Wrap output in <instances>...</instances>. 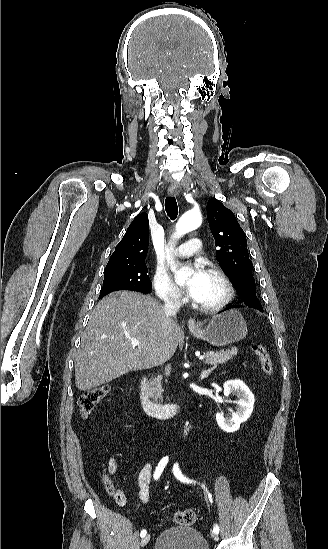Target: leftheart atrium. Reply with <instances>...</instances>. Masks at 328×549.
Listing matches in <instances>:
<instances>
[{
  "instance_id": "1",
  "label": "left heart atrium",
  "mask_w": 328,
  "mask_h": 549,
  "mask_svg": "<svg viewBox=\"0 0 328 549\" xmlns=\"http://www.w3.org/2000/svg\"><path fill=\"white\" fill-rule=\"evenodd\" d=\"M206 272L199 268H191L182 286L183 292L190 299L196 300L202 291L205 282Z\"/></svg>"
}]
</instances>
